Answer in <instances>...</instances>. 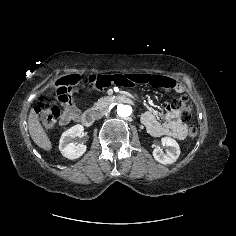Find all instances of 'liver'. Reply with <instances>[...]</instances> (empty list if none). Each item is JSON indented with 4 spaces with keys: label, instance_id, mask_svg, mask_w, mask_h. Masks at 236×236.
Returning <instances> with one entry per match:
<instances>
[{
    "label": "liver",
    "instance_id": "liver-1",
    "mask_svg": "<svg viewBox=\"0 0 236 236\" xmlns=\"http://www.w3.org/2000/svg\"><path fill=\"white\" fill-rule=\"evenodd\" d=\"M28 128L30 136L34 143L40 148L46 151H50L52 148V144L47 134L45 133L43 127L41 126L38 120V115L36 114L34 109H31L29 113Z\"/></svg>",
    "mask_w": 236,
    "mask_h": 236
}]
</instances>
